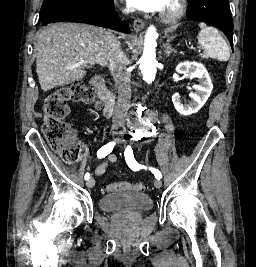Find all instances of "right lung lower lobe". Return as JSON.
Returning a JSON list of instances; mask_svg holds the SVG:
<instances>
[{"label":"right lung lower lobe","mask_w":256,"mask_h":267,"mask_svg":"<svg viewBox=\"0 0 256 267\" xmlns=\"http://www.w3.org/2000/svg\"><path fill=\"white\" fill-rule=\"evenodd\" d=\"M40 24L45 26L55 22H81L100 27L113 28L117 31L129 33V27L124 22H119L114 14L113 0L90 4L78 12L56 8L40 16Z\"/></svg>","instance_id":"obj_1"}]
</instances>
